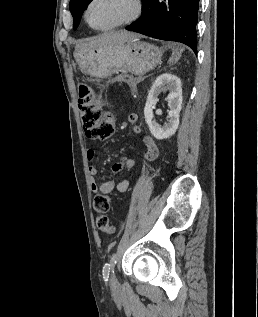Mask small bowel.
Listing matches in <instances>:
<instances>
[{
    "label": "small bowel",
    "mask_w": 258,
    "mask_h": 317,
    "mask_svg": "<svg viewBox=\"0 0 258 317\" xmlns=\"http://www.w3.org/2000/svg\"><path fill=\"white\" fill-rule=\"evenodd\" d=\"M137 121L138 116L136 114H131L128 118V123L132 126L134 132L141 135V140L144 147V158L147 161H154L159 155L158 146L151 136L142 134L140 127L137 125ZM87 157L89 160L90 187L93 192L108 194L114 188H116L119 192H126L129 189L130 183L126 179L120 181L117 185H115L114 181L112 180L98 182L95 178L98 174V166L94 160L95 150L93 146L88 148ZM134 166L135 162L133 159L123 157L120 162H117L112 166V170L114 173H118L124 169L127 173H130L133 171Z\"/></svg>",
    "instance_id": "1"
}]
</instances>
